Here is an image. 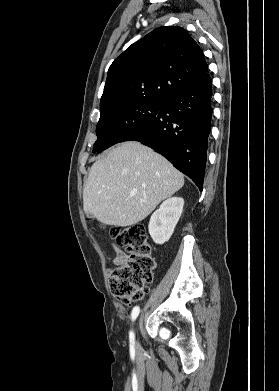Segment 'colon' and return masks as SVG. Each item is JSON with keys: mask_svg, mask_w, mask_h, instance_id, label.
<instances>
[{"mask_svg": "<svg viewBox=\"0 0 279 391\" xmlns=\"http://www.w3.org/2000/svg\"><path fill=\"white\" fill-rule=\"evenodd\" d=\"M111 235L125 253L110 273V290L117 300L130 305L143 297L154 279V247L141 224L113 228Z\"/></svg>", "mask_w": 279, "mask_h": 391, "instance_id": "obj_1", "label": "colon"}]
</instances>
